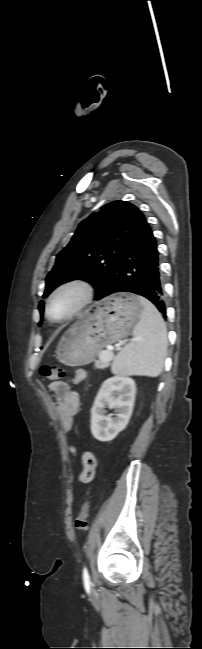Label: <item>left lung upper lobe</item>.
Returning <instances> with one entry per match:
<instances>
[{"label":"left lung upper lobe","instance_id":"left-lung-upper-lobe-1","mask_svg":"<svg viewBox=\"0 0 202 649\" xmlns=\"http://www.w3.org/2000/svg\"><path fill=\"white\" fill-rule=\"evenodd\" d=\"M143 219V213L133 204L113 201L83 220L70 243L57 255L46 277L43 297L60 284L74 279L97 283L98 297L113 276L125 244ZM43 305L40 302L41 315Z\"/></svg>","mask_w":202,"mask_h":649}]
</instances>
